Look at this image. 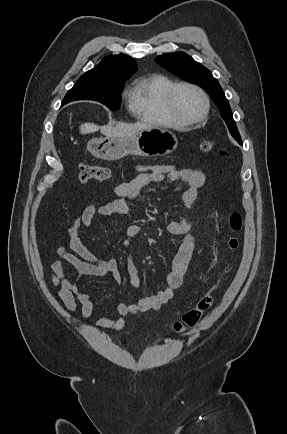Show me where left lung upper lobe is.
<instances>
[{
  "mask_svg": "<svg viewBox=\"0 0 287 434\" xmlns=\"http://www.w3.org/2000/svg\"><path fill=\"white\" fill-rule=\"evenodd\" d=\"M155 61L176 76L203 88L220 110V115L226 122L231 135L241 143L228 100L218 81L206 67L184 52L161 55L156 57Z\"/></svg>",
  "mask_w": 287,
  "mask_h": 434,
  "instance_id": "left-lung-upper-lobe-1",
  "label": "left lung upper lobe"
}]
</instances>
